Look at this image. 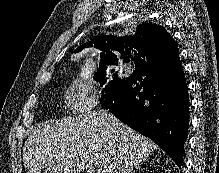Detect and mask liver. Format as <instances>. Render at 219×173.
<instances>
[{"label":"liver","instance_id":"1","mask_svg":"<svg viewBox=\"0 0 219 173\" xmlns=\"http://www.w3.org/2000/svg\"><path fill=\"white\" fill-rule=\"evenodd\" d=\"M155 149L153 141L98 110L35 127L23 163L28 173H130Z\"/></svg>","mask_w":219,"mask_h":173}]
</instances>
